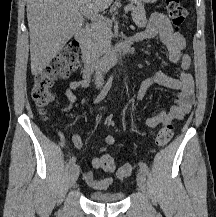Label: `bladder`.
Segmentation results:
<instances>
[{
  "label": "bladder",
  "instance_id": "bladder-1",
  "mask_svg": "<svg viewBox=\"0 0 216 217\" xmlns=\"http://www.w3.org/2000/svg\"><path fill=\"white\" fill-rule=\"evenodd\" d=\"M89 196L91 201L96 203H118L124 199L125 193L117 191H92L90 192Z\"/></svg>",
  "mask_w": 216,
  "mask_h": 217
}]
</instances>
